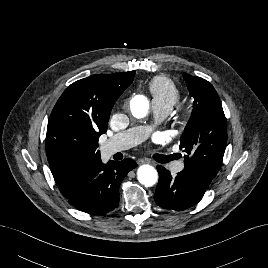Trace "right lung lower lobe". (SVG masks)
Wrapping results in <instances>:
<instances>
[{
  "label": "right lung lower lobe",
  "instance_id": "obj_1",
  "mask_svg": "<svg viewBox=\"0 0 268 268\" xmlns=\"http://www.w3.org/2000/svg\"><path fill=\"white\" fill-rule=\"evenodd\" d=\"M137 163L126 158L121 162L102 161L92 165L81 180L78 188L67 198L78 210L89 214H104L112 211L119 203V186Z\"/></svg>",
  "mask_w": 268,
  "mask_h": 268
}]
</instances>
